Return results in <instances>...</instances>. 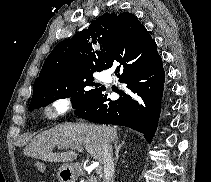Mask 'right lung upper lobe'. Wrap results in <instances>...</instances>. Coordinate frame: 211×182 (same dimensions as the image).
Returning a JSON list of instances; mask_svg holds the SVG:
<instances>
[{
  "instance_id": "1",
  "label": "right lung upper lobe",
  "mask_w": 211,
  "mask_h": 182,
  "mask_svg": "<svg viewBox=\"0 0 211 182\" xmlns=\"http://www.w3.org/2000/svg\"><path fill=\"white\" fill-rule=\"evenodd\" d=\"M145 34L146 28L128 12L99 16L88 29L55 46L34 82L33 92L47 84L104 70L120 47Z\"/></svg>"
}]
</instances>
